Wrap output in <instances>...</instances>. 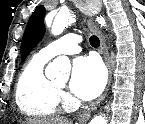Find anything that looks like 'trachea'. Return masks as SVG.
<instances>
[{
	"label": "trachea",
	"mask_w": 145,
	"mask_h": 124,
	"mask_svg": "<svg viewBox=\"0 0 145 124\" xmlns=\"http://www.w3.org/2000/svg\"><path fill=\"white\" fill-rule=\"evenodd\" d=\"M89 41H90V44L92 47L96 48V47H99V45H100L99 38L95 35L91 36Z\"/></svg>",
	"instance_id": "1"
}]
</instances>
